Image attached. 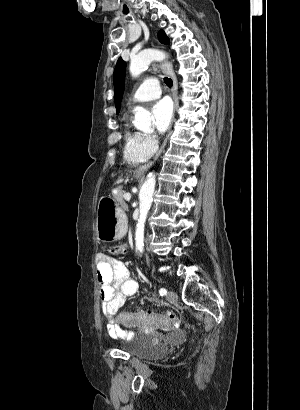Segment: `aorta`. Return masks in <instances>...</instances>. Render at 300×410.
I'll list each match as a JSON object with an SVG mask.
<instances>
[{
  "label": "aorta",
  "mask_w": 300,
  "mask_h": 410,
  "mask_svg": "<svg viewBox=\"0 0 300 410\" xmlns=\"http://www.w3.org/2000/svg\"><path fill=\"white\" fill-rule=\"evenodd\" d=\"M164 57L165 54L156 49H147L139 52L131 59L129 67L131 75L133 77H138L144 70H146L152 61L162 60ZM134 111V126L141 131L149 130L151 127L150 113L142 107H136ZM155 186L156 176L155 174L150 173L139 192V219L136 225L135 245L136 249L141 253L144 249L145 222L152 204Z\"/></svg>",
  "instance_id": "obj_1"
}]
</instances>
